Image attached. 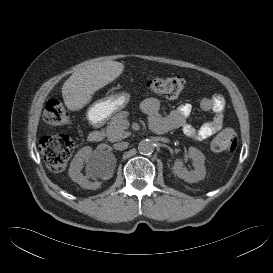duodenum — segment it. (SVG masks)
Returning <instances> with one entry per match:
<instances>
[{"label": "duodenum", "mask_w": 273, "mask_h": 273, "mask_svg": "<svg viewBox=\"0 0 273 273\" xmlns=\"http://www.w3.org/2000/svg\"><path fill=\"white\" fill-rule=\"evenodd\" d=\"M149 124L152 131H154L157 134H164L169 130L166 121L163 120L162 118H156L155 120L150 121ZM103 137L104 134L99 128H95L89 134V140L93 143L102 141Z\"/></svg>", "instance_id": "duodenum-1"}]
</instances>
